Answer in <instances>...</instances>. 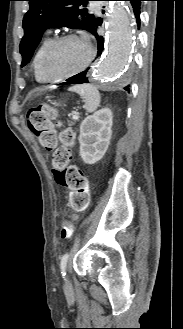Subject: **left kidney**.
Listing matches in <instances>:
<instances>
[{
  "label": "left kidney",
  "instance_id": "5707ae66",
  "mask_svg": "<svg viewBox=\"0 0 183 329\" xmlns=\"http://www.w3.org/2000/svg\"><path fill=\"white\" fill-rule=\"evenodd\" d=\"M112 112L108 108L86 117L80 125V156L87 164H94L106 153L112 136Z\"/></svg>",
  "mask_w": 183,
  "mask_h": 329
}]
</instances>
